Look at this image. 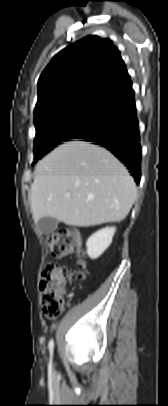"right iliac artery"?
Wrapping results in <instances>:
<instances>
[{"mask_svg": "<svg viewBox=\"0 0 168 406\" xmlns=\"http://www.w3.org/2000/svg\"><path fill=\"white\" fill-rule=\"evenodd\" d=\"M48 348H49V351H50V359H52V356H53V348H54L53 339H51V340L49 341Z\"/></svg>", "mask_w": 168, "mask_h": 406, "instance_id": "1", "label": "right iliac artery"}]
</instances>
